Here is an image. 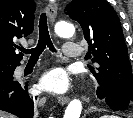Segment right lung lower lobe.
<instances>
[{
    "label": "right lung lower lobe",
    "mask_w": 133,
    "mask_h": 118,
    "mask_svg": "<svg viewBox=\"0 0 133 118\" xmlns=\"http://www.w3.org/2000/svg\"><path fill=\"white\" fill-rule=\"evenodd\" d=\"M28 84L16 81L0 82V110L19 118H32L36 97L29 95Z\"/></svg>",
    "instance_id": "1"
}]
</instances>
